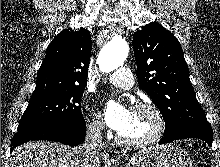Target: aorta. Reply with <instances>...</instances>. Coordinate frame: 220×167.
Here are the masks:
<instances>
[{"label": "aorta", "mask_w": 220, "mask_h": 167, "mask_svg": "<svg viewBox=\"0 0 220 167\" xmlns=\"http://www.w3.org/2000/svg\"><path fill=\"white\" fill-rule=\"evenodd\" d=\"M129 53L128 43L121 36L114 37L100 51L97 63L102 72L109 73L122 66Z\"/></svg>", "instance_id": "762f6f07"}]
</instances>
